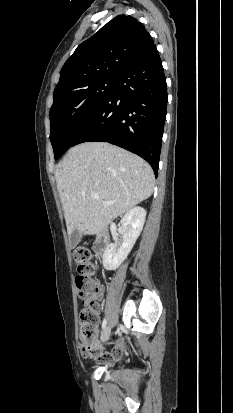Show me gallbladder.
<instances>
[{
  "label": "gallbladder",
  "instance_id": "1",
  "mask_svg": "<svg viewBox=\"0 0 233 413\" xmlns=\"http://www.w3.org/2000/svg\"><path fill=\"white\" fill-rule=\"evenodd\" d=\"M81 238V234L79 233L78 230H74V232L71 234L70 239H69V244L71 248H75L77 244L79 243Z\"/></svg>",
  "mask_w": 233,
  "mask_h": 413
}]
</instances>
